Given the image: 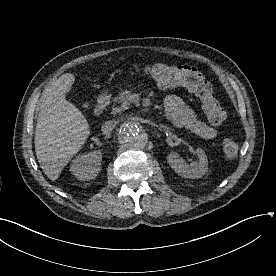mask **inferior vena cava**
Masks as SVG:
<instances>
[{
	"label": "inferior vena cava",
	"instance_id": "602c4592",
	"mask_svg": "<svg viewBox=\"0 0 276 276\" xmlns=\"http://www.w3.org/2000/svg\"><path fill=\"white\" fill-rule=\"evenodd\" d=\"M118 121L116 120H110L105 122V124L102 126V131L104 133H108L112 131V129L117 125Z\"/></svg>",
	"mask_w": 276,
	"mask_h": 276
}]
</instances>
